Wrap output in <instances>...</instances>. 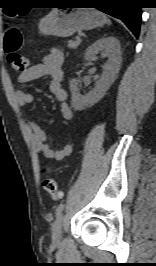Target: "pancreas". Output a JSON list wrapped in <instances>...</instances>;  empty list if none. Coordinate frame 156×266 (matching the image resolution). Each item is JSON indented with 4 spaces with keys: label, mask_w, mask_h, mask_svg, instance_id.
<instances>
[{
    "label": "pancreas",
    "mask_w": 156,
    "mask_h": 266,
    "mask_svg": "<svg viewBox=\"0 0 156 266\" xmlns=\"http://www.w3.org/2000/svg\"><path fill=\"white\" fill-rule=\"evenodd\" d=\"M80 40H69L68 41V47L71 49L77 48L80 45Z\"/></svg>",
    "instance_id": "pancreas-1"
}]
</instances>
